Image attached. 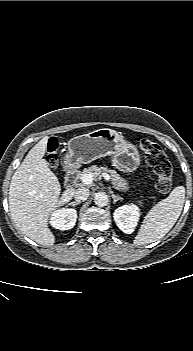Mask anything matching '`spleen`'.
Segmentation results:
<instances>
[{"label": "spleen", "instance_id": "3e777b00", "mask_svg": "<svg viewBox=\"0 0 193 351\" xmlns=\"http://www.w3.org/2000/svg\"><path fill=\"white\" fill-rule=\"evenodd\" d=\"M184 202V186L175 187L167 198L154 205L145 216L134 244L145 245L164 237L178 220Z\"/></svg>", "mask_w": 193, "mask_h": 351}]
</instances>
